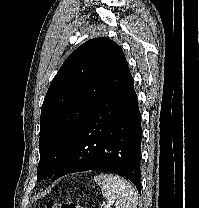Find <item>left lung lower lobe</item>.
I'll return each mask as SVG.
<instances>
[{
  "label": "left lung lower lobe",
  "mask_w": 199,
  "mask_h": 208,
  "mask_svg": "<svg viewBox=\"0 0 199 208\" xmlns=\"http://www.w3.org/2000/svg\"><path fill=\"white\" fill-rule=\"evenodd\" d=\"M141 115L129 73L80 127L52 181L73 172L96 170L123 175L140 192Z\"/></svg>",
  "instance_id": "1"
}]
</instances>
